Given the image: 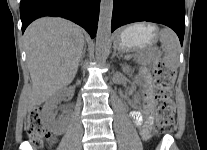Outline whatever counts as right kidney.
Instances as JSON below:
<instances>
[{
    "label": "right kidney",
    "instance_id": "obj_1",
    "mask_svg": "<svg viewBox=\"0 0 207 150\" xmlns=\"http://www.w3.org/2000/svg\"><path fill=\"white\" fill-rule=\"evenodd\" d=\"M67 96V90L62 89L55 93L51 98H49L43 107V115L45 123L48 129L56 134L59 135L63 132L62 123L55 118V109L57 105L65 99Z\"/></svg>",
    "mask_w": 207,
    "mask_h": 150
}]
</instances>
